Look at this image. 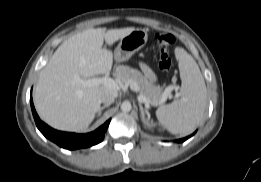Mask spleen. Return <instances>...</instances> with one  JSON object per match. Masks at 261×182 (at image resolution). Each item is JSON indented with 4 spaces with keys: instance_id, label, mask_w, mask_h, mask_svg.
<instances>
[{
    "instance_id": "3e777b00",
    "label": "spleen",
    "mask_w": 261,
    "mask_h": 182,
    "mask_svg": "<svg viewBox=\"0 0 261 182\" xmlns=\"http://www.w3.org/2000/svg\"><path fill=\"white\" fill-rule=\"evenodd\" d=\"M180 78L179 99L156 111L159 123L172 134L187 135L195 130L207 105L206 85L193 57L183 48H176Z\"/></svg>"
}]
</instances>
